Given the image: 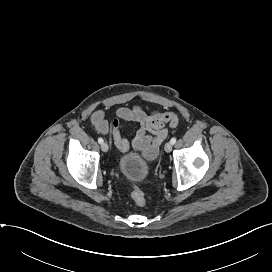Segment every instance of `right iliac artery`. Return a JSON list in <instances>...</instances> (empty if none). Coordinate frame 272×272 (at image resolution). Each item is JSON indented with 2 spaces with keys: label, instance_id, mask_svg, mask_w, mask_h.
<instances>
[{
  "label": "right iliac artery",
  "instance_id": "82829eb1",
  "mask_svg": "<svg viewBox=\"0 0 272 272\" xmlns=\"http://www.w3.org/2000/svg\"><path fill=\"white\" fill-rule=\"evenodd\" d=\"M98 142L100 143V144H102L103 143V139L100 137V138H98Z\"/></svg>",
  "mask_w": 272,
  "mask_h": 272
}]
</instances>
